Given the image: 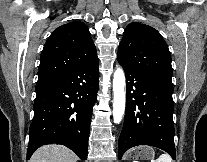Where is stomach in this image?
Segmentation results:
<instances>
[{
	"mask_svg": "<svg viewBox=\"0 0 207 162\" xmlns=\"http://www.w3.org/2000/svg\"><path fill=\"white\" fill-rule=\"evenodd\" d=\"M129 156H133L141 160L151 159L154 157V150L149 146H140L135 148L133 153L129 154Z\"/></svg>",
	"mask_w": 207,
	"mask_h": 162,
	"instance_id": "obj_1",
	"label": "stomach"
}]
</instances>
